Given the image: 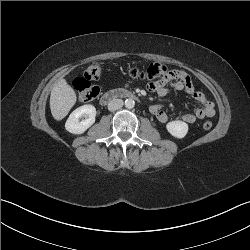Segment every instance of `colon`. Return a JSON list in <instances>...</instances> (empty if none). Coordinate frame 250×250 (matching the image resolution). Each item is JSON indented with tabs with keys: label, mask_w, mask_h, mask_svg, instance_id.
I'll use <instances>...</instances> for the list:
<instances>
[{
	"label": "colon",
	"mask_w": 250,
	"mask_h": 250,
	"mask_svg": "<svg viewBox=\"0 0 250 250\" xmlns=\"http://www.w3.org/2000/svg\"><path fill=\"white\" fill-rule=\"evenodd\" d=\"M129 75L133 79H139L144 81L154 80L157 82L166 72H171L166 66L160 63H152L146 68L140 69L137 67H131L129 69ZM102 69L99 64H90L84 72L82 77H78L74 80V88L77 92L79 101L91 102L99 95V88L91 84L92 80H97L101 77ZM213 124L211 121H205L203 128L210 130Z\"/></svg>",
	"instance_id": "colon-1"
}]
</instances>
